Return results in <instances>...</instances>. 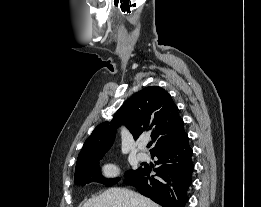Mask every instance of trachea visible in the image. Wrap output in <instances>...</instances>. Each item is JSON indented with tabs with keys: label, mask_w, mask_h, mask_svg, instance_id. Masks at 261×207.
<instances>
[{
	"label": "trachea",
	"mask_w": 261,
	"mask_h": 207,
	"mask_svg": "<svg viewBox=\"0 0 261 207\" xmlns=\"http://www.w3.org/2000/svg\"><path fill=\"white\" fill-rule=\"evenodd\" d=\"M151 146V143H149L148 145H147V147L149 148Z\"/></svg>",
	"instance_id": "3493384b"
}]
</instances>
